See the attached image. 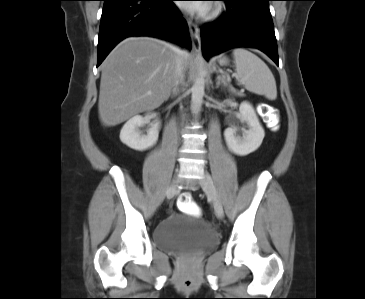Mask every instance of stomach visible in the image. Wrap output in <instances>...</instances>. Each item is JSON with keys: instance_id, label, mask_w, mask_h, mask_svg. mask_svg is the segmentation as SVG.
I'll list each match as a JSON object with an SVG mask.
<instances>
[{"instance_id": "obj_1", "label": "stomach", "mask_w": 365, "mask_h": 299, "mask_svg": "<svg viewBox=\"0 0 365 299\" xmlns=\"http://www.w3.org/2000/svg\"><path fill=\"white\" fill-rule=\"evenodd\" d=\"M229 63V61H228V59L226 58V57H220V59H219V64L221 65V66H225V65H227Z\"/></svg>"}]
</instances>
